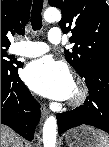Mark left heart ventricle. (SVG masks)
<instances>
[{
    "mask_svg": "<svg viewBox=\"0 0 109 147\" xmlns=\"http://www.w3.org/2000/svg\"><path fill=\"white\" fill-rule=\"evenodd\" d=\"M74 93H75V87H73V91H72L71 96H73V95H74Z\"/></svg>",
    "mask_w": 109,
    "mask_h": 147,
    "instance_id": "obj_1",
    "label": "left heart ventricle"
}]
</instances>
